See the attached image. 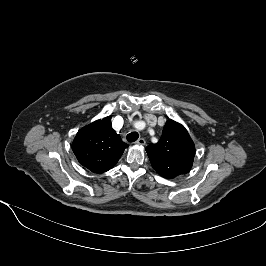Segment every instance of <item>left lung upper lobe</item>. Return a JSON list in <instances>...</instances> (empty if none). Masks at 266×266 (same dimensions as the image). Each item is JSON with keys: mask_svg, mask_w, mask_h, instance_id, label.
<instances>
[{"mask_svg": "<svg viewBox=\"0 0 266 266\" xmlns=\"http://www.w3.org/2000/svg\"><path fill=\"white\" fill-rule=\"evenodd\" d=\"M152 167L162 177L173 179L190 171L195 146L185 127L173 120L164 126L158 143L146 147Z\"/></svg>", "mask_w": 266, "mask_h": 266, "instance_id": "obj_1", "label": "left lung upper lobe"}]
</instances>
